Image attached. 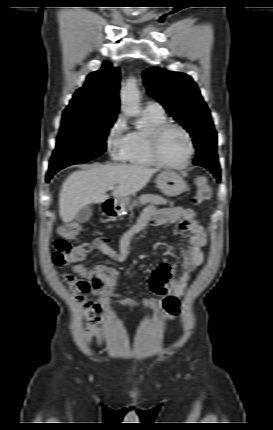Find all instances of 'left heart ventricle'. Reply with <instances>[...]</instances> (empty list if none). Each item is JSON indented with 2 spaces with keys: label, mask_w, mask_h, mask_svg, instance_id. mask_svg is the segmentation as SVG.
Listing matches in <instances>:
<instances>
[{
  "label": "left heart ventricle",
  "mask_w": 273,
  "mask_h": 430,
  "mask_svg": "<svg viewBox=\"0 0 273 430\" xmlns=\"http://www.w3.org/2000/svg\"><path fill=\"white\" fill-rule=\"evenodd\" d=\"M188 153L185 135L177 129L167 130L160 141L161 158L168 163H181Z\"/></svg>",
  "instance_id": "left-heart-ventricle-1"
}]
</instances>
